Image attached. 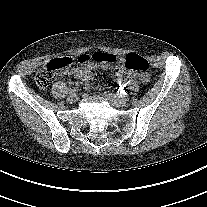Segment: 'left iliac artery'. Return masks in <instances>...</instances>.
I'll list each match as a JSON object with an SVG mask.
<instances>
[{"mask_svg":"<svg viewBox=\"0 0 207 207\" xmlns=\"http://www.w3.org/2000/svg\"><path fill=\"white\" fill-rule=\"evenodd\" d=\"M120 97L124 100H127L129 98V95L127 93L121 92Z\"/></svg>","mask_w":207,"mask_h":207,"instance_id":"44dca946","label":"left iliac artery"}]
</instances>
